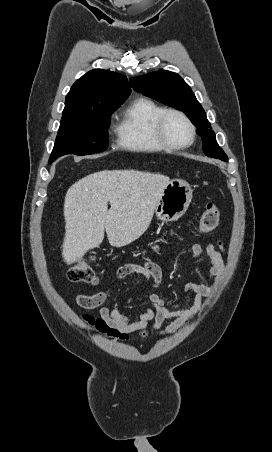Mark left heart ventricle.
Returning a JSON list of instances; mask_svg holds the SVG:
<instances>
[{
  "instance_id": "b2bd125f",
  "label": "left heart ventricle",
  "mask_w": 272,
  "mask_h": 452,
  "mask_svg": "<svg viewBox=\"0 0 272 452\" xmlns=\"http://www.w3.org/2000/svg\"><path fill=\"white\" fill-rule=\"evenodd\" d=\"M165 131L168 138L174 143H185L190 138L188 126L176 115H169L167 117Z\"/></svg>"
}]
</instances>
